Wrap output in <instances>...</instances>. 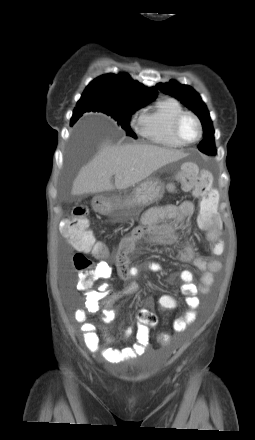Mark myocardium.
Returning <instances> with one entry per match:
<instances>
[{"mask_svg": "<svg viewBox=\"0 0 255 440\" xmlns=\"http://www.w3.org/2000/svg\"><path fill=\"white\" fill-rule=\"evenodd\" d=\"M186 117H191L195 121L197 128H198L197 136L192 141L185 140L180 133V125ZM173 134H174L175 138L177 139V141L180 142L181 144H183L184 146L191 145V144L198 142L203 135V127H202V123H201L200 118L194 112H191V111L181 112L175 118V120L173 122Z\"/></svg>", "mask_w": 255, "mask_h": 440, "instance_id": "myocardium-1", "label": "myocardium"}]
</instances>
